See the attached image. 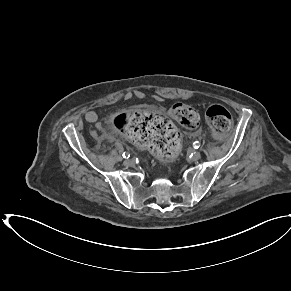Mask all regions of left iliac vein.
Instances as JSON below:
<instances>
[{"mask_svg": "<svg viewBox=\"0 0 291 291\" xmlns=\"http://www.w3.org/2000/svg\"><path fill=\"white\" fill-rule=\"evenodd\" d=\"M201 158V153L199 151H195L191 157L193 161H197Z\"/></svg>", "mask_w": 291, "mask_h": 291, "instance_id": "1", "label": "left iliac vein"}]
</instances>
